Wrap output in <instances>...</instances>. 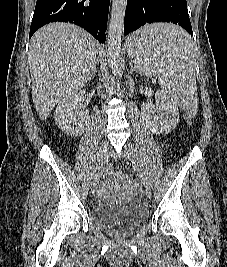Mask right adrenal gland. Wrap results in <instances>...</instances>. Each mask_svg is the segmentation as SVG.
Returning <instances> with one entry per match:
<instances>
[{
	"mask_svg": "<svg viewBox=\"0 0 227 267\" xmlns=\"http://www.w3.org/2000/svg\"><path fill=\"white\" fill-rule=\"evenodd\" d=\"M96 73H97V63L95 64V66L93 67L92 69V73L88 79V81H91L95 76H96Z\"/></svg>",
	"mask_w": 227,
	"mask_h": 267,
	"instance_id": "2a0ac1e0",
	"label": "right adrenal gland"
}]
</instances>
